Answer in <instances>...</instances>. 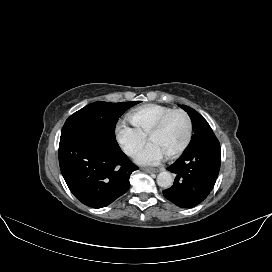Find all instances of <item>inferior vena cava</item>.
<instances>
[{
    "label": "inferior vena cava",
    "mask_w": 272,
    "mask_h": 272,
    "mask_svg": "<svg viewBox=\"0 0 272 272\" xmlns=\"http://www.w3.org/2000/svg\"><path fill=\"white\" fill-rule=\"evenodd\" d=\"M133 150L132 149H130V150H128V153H131Z\"/></svg>",
    "instance_id": "1"
}]
</instances>
